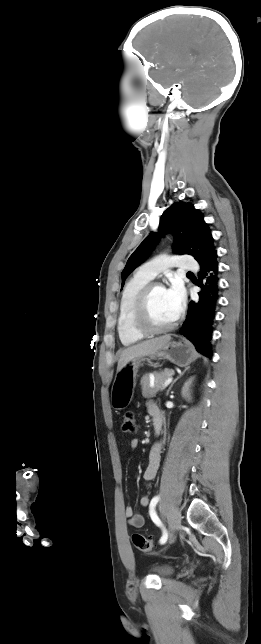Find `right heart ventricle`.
<instances>
[{
    "instance_id": "obj_1",
    "label": "right heart ventricle",
    "mask_w": 261,
    "mask_h": 644,
    "mask_svg": "<svg viewBox=\"0 0 261 644\" xmlns=\"http://www.w3.org/2000/svg\"><path fill=\"white\" fill-rule=\"evenodd\" d=\"M151 279L138 271L123 288L120 298L117 332L121 343L125 346L133 345L141 341L145 336L133 326V310L140 291Z\"/></svg>"
}]
</instances>
